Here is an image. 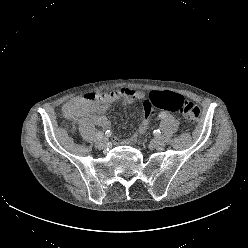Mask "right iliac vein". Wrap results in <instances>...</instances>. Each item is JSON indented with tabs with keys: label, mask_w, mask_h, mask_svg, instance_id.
<instances>
[{
	"label": "right iliac vein",
	"mask_w": 248,
	"mask_h": 248,
	"mask_svg": "<svg viewBox=\"0 0 248 248\" xmlns=\"http://www.w3.org/2000/svg\"><path fill=\"white\" fill-rule=\"evenodd\" d=\"M107 140L105 138H100L96 141L95 145L98 149H103L106 147Z\"/></svg>",
	"instance_id": "right-iliac-vein-1"
}]
</instances>
